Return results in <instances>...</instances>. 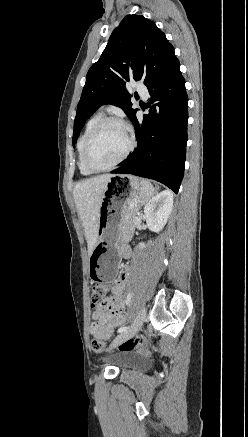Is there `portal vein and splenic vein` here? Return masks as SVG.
<instances>
[{"label": "portal vein and splenic vein", "mask_w": 248, "mask_h": 437, "mask_svg": "<svg viewBox=\"0 0 248 437\" xmlns=\"http://www.w3.org/2000/svg\"><path fill=\"white\" fill-rule=\"evenodd\" d=\"M130 205H131V206H134V205H136V203L132 202Z\"/></svg>", "instance_id": "18ae733b"}]
</instances>
